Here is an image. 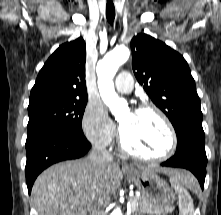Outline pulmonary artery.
I'll return each mask as SVG.
<instances>
[{"label":"pulmonary artery","mask_w":221,"mask_h":215,"mask_svg":"<svg viewBox=\"0 0 221 215\" xmlns=\"http://www.w3.org/2000/svg\"><path fill=\"white\" fill-rule=\"evenodd\" d=\"M115 88L121 93H129L133 89V78L127 71L118 74L115 80Z\"/></svg>","instance_id":"obj_1"}]
</instances>
